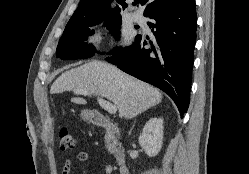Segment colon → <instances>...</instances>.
<instances>
[{
    "label": "colon",
    "instance_id": "1",
    "mask_svg": "<svg viewBox=\"0 0 249 174\" xmlns=\"http://www.w3.org/2000/svg\"><path fill=\"white\" fill-rule=\"evenodd\" d=\"M58 139L60 147L63 150H72L75 148V141L71 132L63 127L58 132Z\"/></svg>",
    "mask_w": 249,
    "mask_h": 174
}]
</instances>
